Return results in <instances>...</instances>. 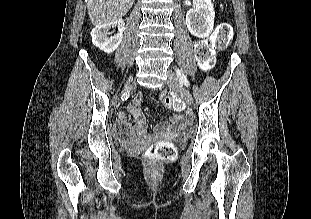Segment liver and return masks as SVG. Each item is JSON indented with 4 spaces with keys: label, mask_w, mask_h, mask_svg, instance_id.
Masks as SVG:
<instances>
[{
    "label": "liver",
    "mask_w": 311,
    "mask_h": 219,
    "mask_svg": "<svg viewBox=\"0 0 311 219\" xmlns=\"http://www.w3.org/2000/svg\"><path fill=\"white\" fill-rule=\"evenodd\" d=\"M135 0H87L88 15L92 25L115 21L131 9Z\"/></svg>",
    "instance_id": "6515ba94"
}]
</instances>
